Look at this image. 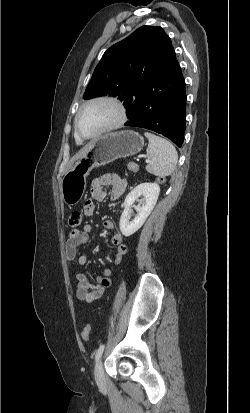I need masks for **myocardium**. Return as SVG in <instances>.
<instances>
[{"mask_svg":"<svg viewBox=\"0 0 250 413\" xmlns=\"http://www.w3.org/2000/svg\"><path fill=\"white\" fill-rule=\"evenodd\" d=\"M96 103H108V104H111L112 106H114L115 109L117 110V118L112 124L106 126L105 128L98 131L97 133L92 134V135H88V136L83 135L79 131V127H78L79 117H80L81 113L83 112V110L86 107H88L90 105H93V104H96ZM127 119H128L127 109H126L125 105L123 104V102L120 99H118L117 97L112 96V95H100V96H96V97H93V98L87 100L86 102H84L80 106L79 110L77 111V113L75 115L74 130H75L76 136L80 140H82V141L92 140V139L99 138L103 135H106L108 133H111V132H114V131L120 129L127 122Z\"/></svg>","mask_w":250,"mask_h":413,"instance_id":"myocardium-1","label":"myocardium"}]
</instances>
